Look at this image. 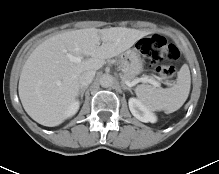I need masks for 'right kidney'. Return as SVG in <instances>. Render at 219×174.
I'll use <instances>...</instances> for the list:
<instances>
[{
	"label": "right kidney",
	"instance_id": "obj_1",
	"mask_svg": "<svg viewBox=\"0 0 219 174\" xmlns=\"http://www.w3.org/2000/svg\"><path fill=\"white\" fill-rule=\"evenodd\" d=\"M78 109H79V102L74 101L67 110L66 113L67 118L73 116L78 111Z\"/></svg>",
	"mask_w": 219,
	"mask_h": 174
}]
</instances>
